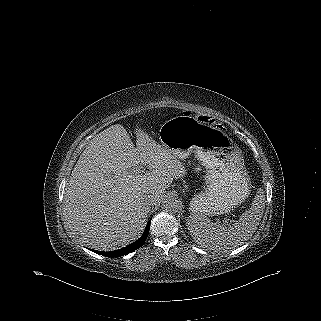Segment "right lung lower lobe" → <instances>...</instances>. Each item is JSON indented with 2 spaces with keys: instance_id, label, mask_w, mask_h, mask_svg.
<instances>
[{
  "instance_id": "1",
  "label": "right lung lower lobe",
  "mask_w": 321,
  "mask_h": 321,
  "mask_svg": "<svg viewBox=\"0 0 321 321\" xmlns=\"http://www.w3.org/2000/svg\"><path fill=\"white\" fill-rule=\"evenodd\" d=\"M150 222L151 221H149L147 223L143 235L136 242H134V243L122 248V249H119L116 251H110V252H103V251H96V250H91V251H94L95 253H98L100 255H104L107 257H120L123 255H127V254L135 251L136 249L140 248L143 245V243L146 241L148 233H149V229H150Z\"/></svg>"
}]
</instances>
